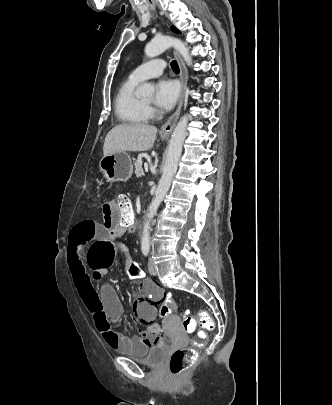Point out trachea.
<instances>
[{"label":"trachea","instance_id":"3493384b","mask_svg":"<svg viewBox=\"0 0 332 405\" xmlns=\"http://www.w3.org/2000/svg\"><path fill=\"white\" fill-rule=\"evenodd\" d=\"M171 68H172V70H173L174 72H176V73H179V72H180L178 63H177L176 61H172V62H171Z\"/></svg>","mask_w":332,"mask_h":405}]
</instances>
